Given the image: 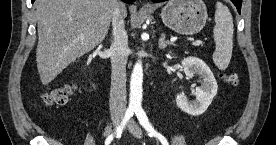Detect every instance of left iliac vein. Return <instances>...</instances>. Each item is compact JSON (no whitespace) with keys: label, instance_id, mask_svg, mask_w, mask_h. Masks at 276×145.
Masks as SVG:
<instances>
[{"label":"left iliac vein","instance_id":"obj_1","mask_svg":"<svg viewBox=\"0 0 276 145\" xmlns=\"http://www.w3.org/2000/svg\"><path fill=\"white\" fill-rule=\"evenodd\" d=\"M127 129L130 131V133L135 136L136 138H140L142 135L140 127L133 121L131 120L128 125Z\"/></svg>","mask_w":276,"mask_h":145}]
</instances>
